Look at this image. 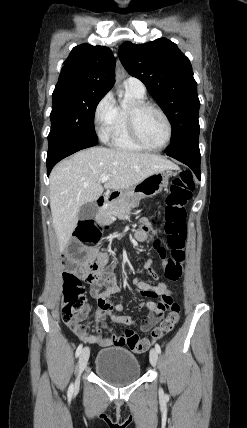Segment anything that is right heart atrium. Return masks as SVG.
<instances>
[{
  "label": "right heart atrium",
  "instance_id": "1",
  "mask_svg": "<svg viewBox=\"0 0 247 428\" xmlns=\"http://www.w3.org/2000/svg\"><path fill=\"white\" fill-rule=\"evenodd\" d=\"M117 108L111 93L106 94L97 103L94 110V123L98 135L107 141L113 131Z\"/></svg>",
  "mask_w": 247,
  "mask_h": 428
}]
</instances>
